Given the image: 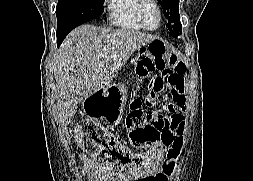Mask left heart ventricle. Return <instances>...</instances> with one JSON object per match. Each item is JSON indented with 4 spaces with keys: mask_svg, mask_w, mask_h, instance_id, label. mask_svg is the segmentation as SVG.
<instances>
[{
    "mask_svg": "<svg viewBox=\"0 0 253 181\" xmlns=\"http://www.w3.org/2000/svg\"><path fill=\"white\" fill-rule=\"evenodd\" d=\"M143 18L147 26H157L159 17L156 8L152 4L145 5L143 9Z\"/></svg>",
    "mask_w": 253,
    "mask_h": 181,
    "instance_id": "1",
    "label": "left heart ventricle"
}]
</instances>
